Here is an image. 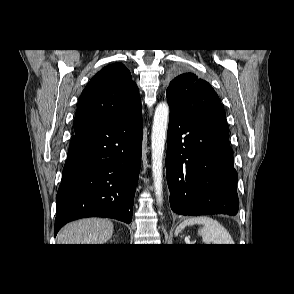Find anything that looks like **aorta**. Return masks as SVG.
I'll list each match as a JSON object with an SVG mask.
<instances>
[{
    "label": "aorta",
    "instance_id": "obj_1",
    "mask_svg": "<svg viewBox=\"0 0 294 294\" xmlns=\"http://www.w3.org/2000/svg\"><path fill=\"white\" fill-rule=\"evenodd\" d=\"M169 106L167 103H159L155 109L152 133H151V151H152V176L155 188L156 200L159 206L163 201L162 176H163V156L165 149V140L168 127Z\"/></svg>",
    "mask_w": 294,
    "mask_h": 294
}]
</instances>
